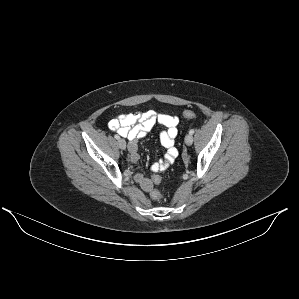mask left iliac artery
<instances>
[{
  "mask_svg": "<svg viewBox=\"0 0 299 299\" xmlns=\"http://www.w3.org/2000/svg\"><path fill=\"white\" fill-rule=\"evenodd\" d=\"M194 132H195L194 129H191V130L189 131V133L192 134V135L194 134Z\"/></svg>",
  "mask_w": 299,
  "mask_h": 299,
  "instance_id": "44dca946",
  "label": "left iliac artery"
}]
</instances>
